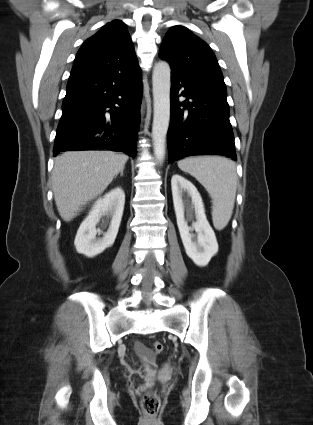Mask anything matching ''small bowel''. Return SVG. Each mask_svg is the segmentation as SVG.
I'll return each instance as SVG.
<instances>
[{
  "label": "small bowel",
  "instance_id": "1",
  "mask_svg": "<svg viewBox=\"0 0 313 425\" xmlns=\"http://www.w3.org/2000/svg\"><path fill=\"white\" fill-rule=\"evenodd\" d=\"M137 348H138L139 350H143V349H144V346H143V345H141V344H137Z\"/></svg>",
  "mask_w": 313,
  "mask_h": 425
}]
</instances>
